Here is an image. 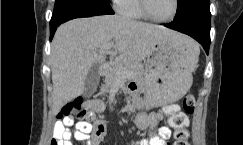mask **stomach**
<instances>
[{
    "label": "stomach",
    "mask_w": 243,
    "mask_h": 145,
    "mask_svg": "<svg viewBox=\"0 0 243 145\" xmlns=\"http://www.w3.org/2000/svg\"><path fill=\"white\" fill-rule=\"evenodd\" d=\"M198 56V45L191 39L183 44L157 43L147 59L143 74L146 94L140 103L168 106L183 97L192 85Z\"/></svg>",
    "instance_id": "stomach-1"
}]
</instances>
